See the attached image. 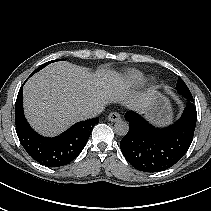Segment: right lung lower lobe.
<instances>
[{
	"label": "right lung lower lobe",
	"mask_w": 211,
	"mask_h": 211,
	"mask_svg": "<svg viewBox=\"0 0 211 211\" xmlns=\"http://www.w3.org/2000/svg\"><path fill=\"white\" fill-rule=\"evenodd\" d=\"M98 122V117L81 121L59 136L43 137L36 133L25 119L23 86L19 90L15 105L16 132L26 152L42 165L60 167L73 161L85 147L93 127Z\"/></svg>",
	"instance_id": "obj_1"
}]
</instances>
